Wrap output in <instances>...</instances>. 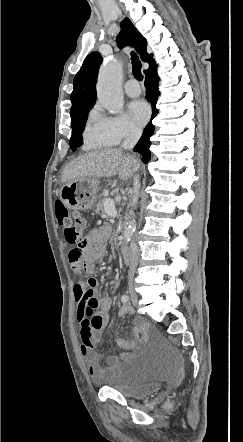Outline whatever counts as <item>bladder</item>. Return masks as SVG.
<instances>
[{
	"instance_id": "obj_1",
	"label": "bladder",
	"mask_w": 243,
	"mask_h": 442,
	"mask_svg": "<svg viewBox=\"0 0 243 442\" xmlns=\"http://www.w3.org/2000/svg\"><path fill=\"white\" fill-rule=\"evenodd\" d=\"M102 387L116 390L128 397L143 398L157 392L161 384L156 375L153 359L135 353L118 363Z\"/></svg>"
}]
</instances>
